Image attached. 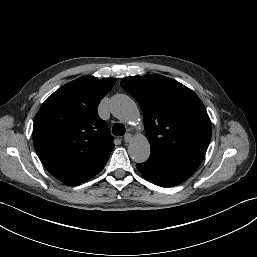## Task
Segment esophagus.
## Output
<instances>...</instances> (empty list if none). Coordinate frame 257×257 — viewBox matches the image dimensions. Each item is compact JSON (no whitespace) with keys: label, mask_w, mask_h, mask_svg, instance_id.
Masks as SVG:
<instances>
[{"label":"esophagus","mask_w":257,"mask_h":257,"mask_svg":"<svg viewBox=\"0 0 257 257\" xmlns=\"http://www.w3.org/2000/svg\"><path fill=\"white\" fill-rule=\"evenodd\" d=\"M132 139V135L130 133L125 134L124 136V142L129 143Z\"/></svg>","instance_id":"esophagus-1"}]
</instances>
